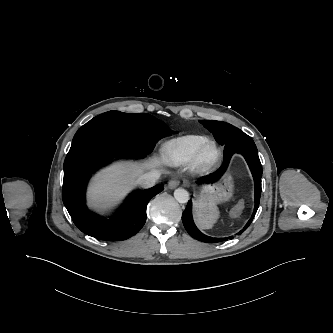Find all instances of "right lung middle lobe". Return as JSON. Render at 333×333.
Wrapping results in <instances>:
<instances>
[{
	"mask_svg": "<svg viewBox=\"0 0 333 333\" xmlns=\"http://www.w3.org/2000/svg\"><path fill=\"white\" fill-rule=\"evenodd\" d=\"M173 133L175 132L171 131L163 122L149 114L109 111L83 125L75 134L72 142L92 134H103L149 154L160 138Z\"/></svg>",
	"mask_w": 333,
	"mask_h": 333,
	"instance_id": "1",
	"label": "right lung middle lobe"
}]
</instances>
